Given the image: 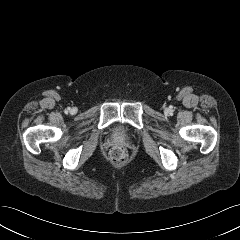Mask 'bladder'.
I'll return each mask as SVG.
<instances>
[{"instance_id":"1","label":"bladder","mask_w":240,"mask_h":240,"mask_svg":"<svg viewBox=\"0 0 240 240\" xmlns=\"http://www.w3.org/2000/svg\"><path fill=\"white\" fill-rule=\"evenodd\" d=\"M116 136H117V137H126L127 134H126V132L124 131V129L118 128V129L116 130Z\"/></svg>"}]
</instances>
